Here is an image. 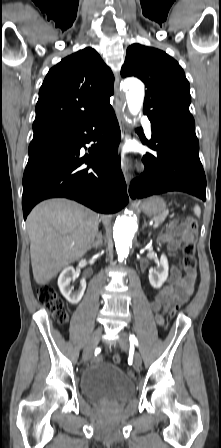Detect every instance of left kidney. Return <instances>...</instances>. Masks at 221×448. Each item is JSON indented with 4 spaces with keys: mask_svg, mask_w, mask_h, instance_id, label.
Segmentation results:
<instances>
[{
    "mask_svg": "<svg viewBox=\"0 0 221 448\" xmlns=\"http://www.w3.org/2000/svg\"><path fill=\"white\" fill-rule=\"evenodd\" d=\"M168 260L167 257L162 254L160 262L157 264L156 269L149 273V282L153 288H160L168 277Z\"/></svg>",
    "mask_w": 221,
    "mask_h": 448,
    "instance_id": "left-kidney-1",
    "label": "left kidney"
}]
</instances>
